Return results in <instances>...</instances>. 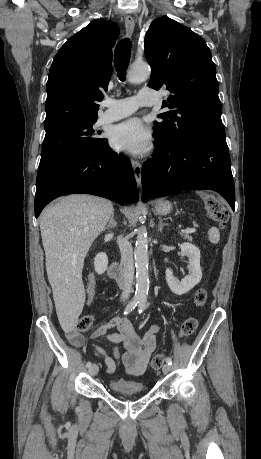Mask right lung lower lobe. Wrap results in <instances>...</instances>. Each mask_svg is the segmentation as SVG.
Returning a JSON list of instances; mask_svg holds the SVG:
<instances>
[{"instance_id":"right-lung-lower-lobe-1","label":"right lung lower lobe","mask_w":261,"mask_h":459,"mask_svg":"<svg viewBox=\"0 0 261 459\" xmlns=\"http://www.w3.org/2000/svg\"><path fill=\"white\" fill-rule=\"evenodd\" d=\"M77 193L101 196L120 204L139 199L129 159L113 152L108 142L98 152L65 159L38 173L35 217L53 199Z\"/></svg>"}]
</instances>
